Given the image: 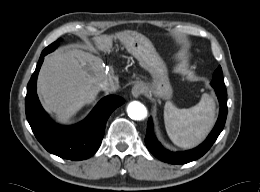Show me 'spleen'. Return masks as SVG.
I'll return each instance as SVG.
<instances>
[{
  "instance_id": "1",
  "label": "spleen",
  "mask_w": 260,
  "mask_h": 192,
  "mask_svg": "<svg viewBox=\"0 0 260 192\" xmlns=\"http://www.w3.org/2000/svg\"><path fill=\"white\" fill-rule=\"evenodd\" d=\"M164 122L175 145L194 147L205 139L215 123V102L209 94H203L199 103L188 109H179L172 102H167Z\"/></svg>"
}]
</instances>
